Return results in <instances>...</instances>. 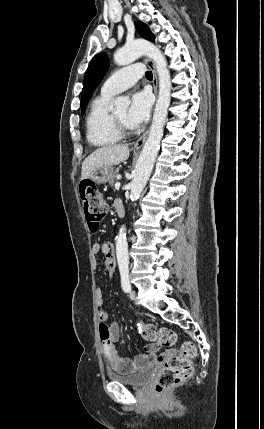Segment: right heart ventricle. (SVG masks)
Instances as JSON below:
<instances>
[{"label":"right heart ventricle","mask_w":264,"mask_h":429,"mask_svg":"<svg viewBox=\"0 0 264 429\" xmlns=\"http://www.w3.org/2000/svg\"><path fill=\"white\" fill-rule=\"evenodd\" d=\"M112 96L100 94L91 103L86 117V136L94 147L116 144L121 137L115 131L108 108Z\"/></svg>","instance_id":"1"}]
</instances>
